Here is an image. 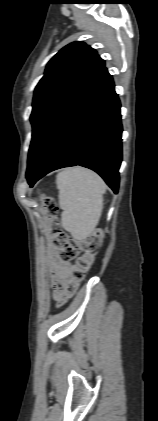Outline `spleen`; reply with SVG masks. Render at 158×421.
Instances as JSON below:
<instances>
[{"instance_id":"3e777b00","label":"spleen","mask_w":158,"mask_h":421,"mask_svg":"<svg viewBox=\"0 0 158 421\" xmlns=\"http://www.w3.org/2000/svg\"><path fill=\"white\" fill-rule=\"evenodd\" d=\"M63 228L75 238L87 237L95 228L103 208L106 186L95 172L82 167L57 174Z\"/></svg>"}]
</instances>
